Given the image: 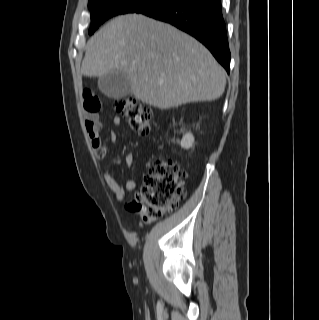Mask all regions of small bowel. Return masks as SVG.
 I'll use <instances>...</instances> for the list:
<instances>
[{"label": "small bowel", "mask_w": 319, "mask_h": 320, "mask_svg": "<svg viewBox=\"0 0 319 320\" xmlns=\"http://www.w3.org/2000/svg\"><path fill=\"white\" fill-rule=\"evenodd\" d=\"M83 101L85 109V127L88 132V136L92 142L96 157L98 159H104L107 155V147L103 144L100 131L102 129V123L99 116L100 102L93 93L85 89L83 91ZM113 124L115 126H120L122 121L119 116L113 118ZM110 138L112 141L117 140V133L112 131L110 133ZM134 162V155L129 153L126 155L125 164L127 167H131ZM103 178L107 186L111 189L117 199H123L126 192H132L137 187V182L134 179H129L125 186H122L115 177L109 172L103 173Z\"/></svg>", "instance_id": "c3829d8e"}]
</instances>
